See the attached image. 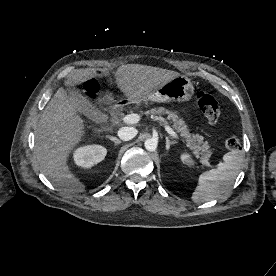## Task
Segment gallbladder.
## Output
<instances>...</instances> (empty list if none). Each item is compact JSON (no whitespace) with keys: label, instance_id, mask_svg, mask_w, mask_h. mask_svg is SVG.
<instances>
[{"label":"gallbladder","instance_id":"1","mask_svg":"<svg viewBox=\"0 0 276 276\" xmlns=\"http://www.w3.org/2000/svg\"><path fill=\"white\" fill-rule=\"evenodd\" d=\"M68 99L74 106L75 110L86 116L93 122H100L105 117L98 108H96L86 97H84L78 90L67 89Z\"/></svg>","mask_w":276,"mask_h":276}]
</instances>
